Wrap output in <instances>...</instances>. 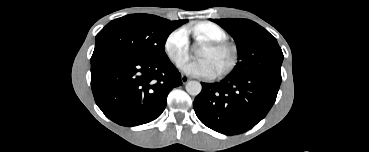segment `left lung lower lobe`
Instances as JSON below:
<instances>
[{"mask_svg": "<svg viewBox=\"0 0 369 152\" xmlns=\"http://www.w3.org/2000/svg\"><path fill=\"white\" fill-rule=\"evenodd\" d=\"M282 78L271 74H229L219 83H202L193 107L207 127L236 135L254 127L273 106Z\"/></svg>", "mask_w": 369, "mask_h": 152, "instance_id": "0a47b994", "label": "left lung lower lobe"}]
</instances>
